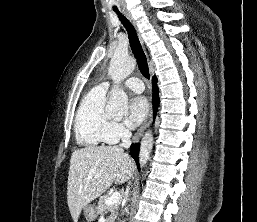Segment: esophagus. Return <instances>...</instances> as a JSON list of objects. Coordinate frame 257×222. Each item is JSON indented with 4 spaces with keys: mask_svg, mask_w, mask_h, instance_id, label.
I'll use <instances>...</instances> for the list:
<instances>
[{
    "mask_svg": "<svg viewBox=\"0 0 257 222\" xmlns=\"http://www.w3.org/2000/svg\"><path fill=\"white\" fill-rule=\"evenodd\" d=\"M127 19L130 21V23L133 25V27L135 28L139 40L141 42V44L143 45V39L141 36V33L139 32V29L137 27V24L135 22V20L132 18V16L129 13H125ZM152 109L149 111L147 118L145 119V121L143 122V124L141 125V127L138 129V131L135 133L134 137H133V142H136L140 139V137L143 135L144 131L147 129V127H149V125L151 124L152 121Z\"/></svg>",
    "mask_w": 257,
    "mask_h": 222,
    "instance_id": "esophagus-1",
    "label": "esophagus"
}]
</instances>
